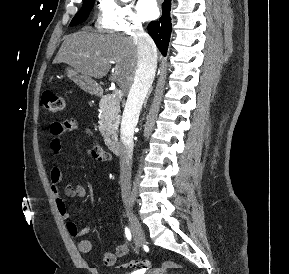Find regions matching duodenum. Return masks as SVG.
<instances>
[{"mask_svg":"<svg viewBox=\"0 0 289 274\" xmlns=\"http://www.w3.org/2000/svg\"><path fill=\"white\" fill-rule=\"evenodd\" d=\"M108 147H109V150L115 155H118L121 152V145L118 140H115V139L110 140L108 142Z\"/></svg>","mask_w":289,"mask_h":274,"instance_id":"obj_1","label":"duodenum"}]
</instances>
